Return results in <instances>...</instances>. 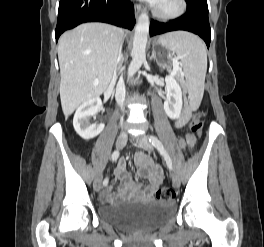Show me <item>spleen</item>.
<instances>
[{
	"mask_svg": "<svg viewBox=\"0 0 264 247\" xmlns=\"http://www.w3.org/2000/svg\"><path fill=\"white\" fill-rule=\"evenodd\" d=\"M159 42L177 55L190 99L201 102L207 71V51L202 40L192 33L178 31L161 36Z\"/></svg>",
	"mask_w": 264,
	"mask_h": 247,
	"instance_id": "1",
	"label": "spleen"
}]
</instances>
